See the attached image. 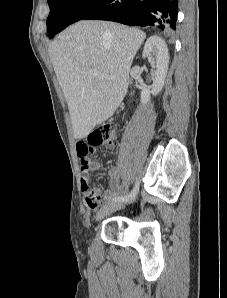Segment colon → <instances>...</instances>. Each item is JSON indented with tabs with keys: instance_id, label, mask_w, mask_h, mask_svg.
Segmentation results:
<instances>
[{
	"instance_id": "obj_1",
	"label": "colon",
	"mask_w": 227,
	"mask_h": 298,
	"mask_svg": "<svg viewBox=\"0 0 227 298\" xmlns=\"http://www.w3.org/2000/svg\"><path fill=\"white\" fill-rule=\"evenodd\" d=\"M119 141L117 129L112 124H103L100 127L93 130L87 139L89 146L99 145H115ZM86 190L85 199L88 203L95 205L97 203V196L89 190L87 183H84Z\"/></svg>"
}]
</instances>
